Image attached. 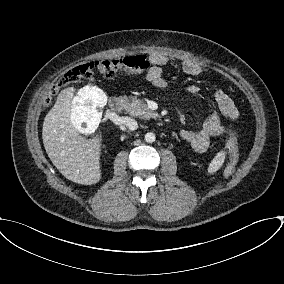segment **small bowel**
<instances>
[{
  "label": "small bowel",
  "instance_id": "1",
  "mask_svg": "<svg viewBox=\"0 0 284 284\" xmlns=\"http://www.w3.org/2000/svg\"><path fill=\"white\" fill-rule=\"evenodd\" d=\"M152 63L146 80L157 88H164L166 80L163 78V67L168 63L169 56L161 51H154L149 56ZM183 71L191 76H202L205 74L204 68L196 61L184 60L182 62ZM188 92L198 96L200 89L197 86H190ZM212 98L217 109H211L206 116L204 123L198 131L182 130L180 137L188 141L195 152L205 153L210 146V140L227 134V129L220 123V114L230 121H237L239 112L233 100L222 89L213 88Z\"/></svg>",
  "mask_w": 284,
  "mask_h": 284
}]
</instances>
